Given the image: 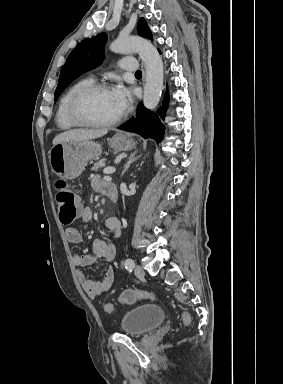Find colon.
I'll use <instances>...</instances> for the list:
<instances>
[{"instance_id": "obj_1", "label": "colon", "mask_w": 283, "mask_h": 384, "mask_svg": "<svg viewBox=\"0 0 283 384\" xmlns=\"http://www.w3.org/2000/svg\"><path fill=\"white\" fill-rule=\"evenodd\" d=\"M56 202L59 207V218L63 224L73 223L80 212L79 202L74 191L64 182L58 181L56 183ZM154 299V295L145 290H126L123 291L118 300L122 304H132L137 300ZM103 309L106 313H113L114 305L112 303H105ZM182 321L185 325L191 323V317L187 312L182 313Z\"/></svg>"}]
</instances>
